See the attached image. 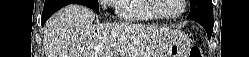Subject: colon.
<instances>
[{
	"label": "colon",
	"instance_id": "1",
	"mask_svg": "<svg viewBox=\"0 0 249 57\" xmlns=\"http://www.w3.org/2000/svg\"><path fill=\"white\" fill-rule=\"evenodd\" d=\"M189 57H203L202 50L198 47H192L189 51Z\"/></svg>",
	"mask_w": 249,
	"mask_h": 57
}]
</instances>
